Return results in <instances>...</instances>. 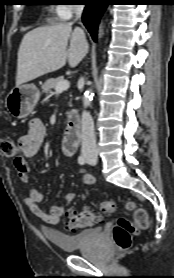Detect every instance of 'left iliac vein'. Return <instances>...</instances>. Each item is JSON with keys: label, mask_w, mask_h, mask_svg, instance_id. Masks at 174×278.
Returning <instances> with one entry per match:
<instances>
[{"label": "left iliac vein", "mask_w": 174, "mask_h": 278, "mask_svg": "<svg viewBox=\"0 0 174 278\" xmlns=\"http://www.w3.org/2000/svg\"><path fill=\"white\" fill-rule=\"evenodd\" d=\"M87 163L90 165H96L97 164V158L96 157H88Z\"/></svg>", "instance_id": "obj_1"}]
</instances>
